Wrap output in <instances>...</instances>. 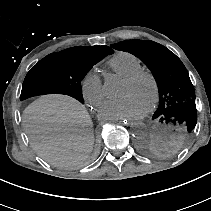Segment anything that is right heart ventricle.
I'll use <instances>...</instances> for the list:
<instances>
[{
    "label": "right heart ventricle",
    "instance_id": "right-heart-ventricle-1",
    "mask_svg": "<svg viewBox=\"0 0 211 211\" xmlns=\"http://www.w3.org/2000/svg\"><path fill=\"white\" fill-rule=\"evenodd\" d=\"M107 67L121 77L142 69L140 59L129 52H117L108 61Z\"/></svg>",
    "mask_w": 211,
    "mask_h": 211
}]
</instances>
